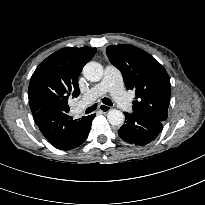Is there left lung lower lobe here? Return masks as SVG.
I'll list each match as a JSON object with an SVG mask.
<instances>
[{"instance_id": "left-lung-lower-lobe-1", "label": "left lung lower lobe", "mask_w": 205, "mask_h": 205, "mask_svg": "<svg viewBox=\"0 0 205 205\" xmlns=\"http://www.w3.org/2000/svg\"><path fill=\"white\" fill-rule=\"evenodd\" d=\"M125 124L118 130L119 137L132 145L144 146L153 141L163 129V122L130 113H124Z\"/></svg>"}]
</instances>
